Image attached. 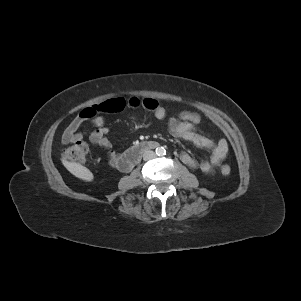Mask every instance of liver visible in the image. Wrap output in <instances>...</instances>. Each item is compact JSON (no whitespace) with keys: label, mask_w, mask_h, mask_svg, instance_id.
<instances>
[{"label":"liver","mask_w":301,"mask_h":301,"mask_svg":"<svg viewBox=\"0 0 301 301\" xmlns=\"http://www.w3.org/2000/svg\"><path fill=\"white\" fill-rule=\"evenodd\" d=\"M62 163L66 167V169L76 177L83 179L85 181L93 180V174L86 167L78 163H72L66 160H62Z\"/></svg>","instance_id":"liver-1"}]
</instances>
